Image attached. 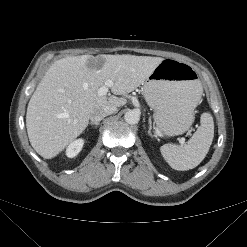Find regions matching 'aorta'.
<instances>
[{"instance_id":"1","label":"aorta","mask_w":247,"mask_h":247,"mask_svg":"<svg viewBox=\"0 0 247 247\" xmlns=\"http://www.w3.org/2000/svg\"><path fill=\"white\" fill-rule=\"evenodd\" d=\"M124 120L128 124H137L140 120V114L136 110H129L125 113Z\"/></svg>"}]
</instances>
